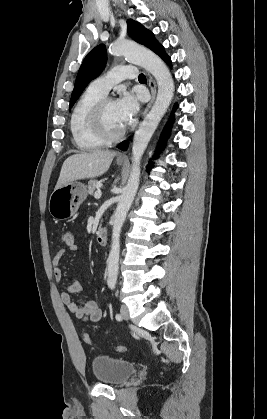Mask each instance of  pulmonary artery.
Here are the masks:
<instances>
[{
  "instance_id": "1",
  "label": "pulmonary artery",
  "mask_w": 267,
  "mask_h": 419,
  "mask_svg": "<svg viewBox=\"0 0 267 419\" xmlns=\"http://www.w3.org/2000/svg\"><path fill=\"white\" fill-rule=\"evenodd\" d=\"M137 77L136 68L133 66L117 65L106 74L95 79L90 88L106 95L109 90L124 79H134Z\"/></svg>"
}]
</instances>
